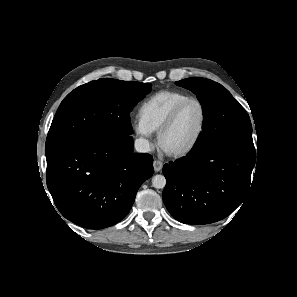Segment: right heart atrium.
Returning <instances> with one entry per match:
<instances>
[{
    "label": "right heart atrium",
    "instance_id": "right-heart-atrium-1",
    "mask_svg": "<svg viewBox=\"0 0 297 297\" xmlns=\"http://www.w3.org/2000/svg\"><path fill=\"white\" fill-rule=\"evenodd\" d=\"M133 128L136 134L145 141L148 140V138L151 136L152 132L148 129V127L140 118L134 120Z\"/></svg>",
    "mask_w": 297,
    "mask_h": 297
}]
</instances>
